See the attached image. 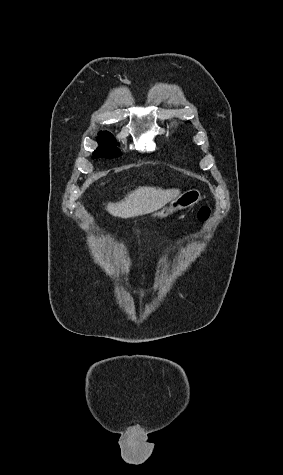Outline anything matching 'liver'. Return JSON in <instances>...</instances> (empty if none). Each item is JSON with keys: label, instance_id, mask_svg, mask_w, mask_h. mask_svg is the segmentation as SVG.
Instances as JSON below:
<instances>
[{"label": "liver", "instance_id": "6515ba94", "mask_svg": "<svg viewBox=\"0 0 283 475\" xmlns=\"http://www.w3.org/2000/svg\"><path fill=\"white\" fill-rule=\"evenodd\" d=\"M180 196V190H162V188H137L127 194L124 200L106 206L107 212L115 218H137L144 214H151L163 208L168 202L176 200Z\"/></svg>", "mask_w": 283, "mask_h": 475}]
</instances>
